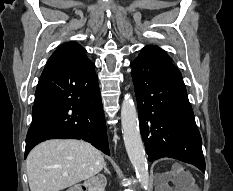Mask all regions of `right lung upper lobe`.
I'll return each instance as SVG.
<instances>
[{"label":"right lung upper lobe","mask_w":233,"mask_h":191,"mask_svg":"<svg viewBox=\"0 0 233 191\" xmlns=\"http://www.w3.org/2000/svg\"><path fill=\"white\" fill-rule=\"evenodd\" d=\"M88 59L86 50L76 42L61 45L49 58L48 65L53 64H76Z\"/></svg>","instance_id":"right-lung-upper-lobe-1"}]
</instances>
